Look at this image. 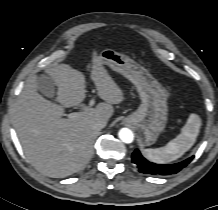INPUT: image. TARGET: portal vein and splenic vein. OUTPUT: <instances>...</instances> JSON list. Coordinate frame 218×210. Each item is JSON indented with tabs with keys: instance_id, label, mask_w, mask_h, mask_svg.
Segmentation results:
<instances>
[{
	"instance_id": "portal-vein-and-splenic-vein-1",
	"label": "portal vein and splenic vein",
	"mask_w": 218,
	"mask_h": 210,
	"mask_svg": "<svg viewBox=\"0 0 218 210\" xmlns=\"http://www.w3.org/2000/svg\"><path fill=\"white\" fill-rule=\"evenodd\" d=\"M94 103H95V101L92 99V100L90 101L89 105L92 106V105H94ZM80 114H81V112H75V113L69 114L68 117L71 118V119H74V118L79 117Z\"/></svg>"
}]
</instances>
